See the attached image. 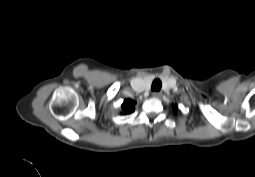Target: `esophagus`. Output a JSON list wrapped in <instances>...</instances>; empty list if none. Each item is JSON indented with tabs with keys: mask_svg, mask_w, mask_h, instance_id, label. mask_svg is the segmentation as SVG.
Masks as SVG:
<instances>
[{
	"mask_svg": "<svg viewBox=\"0 0 255 177\" xmlns=\"http://www.w3.org/2000/svg\"><path fill=\"white\" fill-rule=\"evenodd\" d=\"M160 96H161L160 92L155 91V92L152 93L153 98H159Z\"/></svg>",
	"mask_w": 255,
	"mask_h": 177,
	"instance_id": "34e87169",
	"label": "esophagus"
}]
</instances>
